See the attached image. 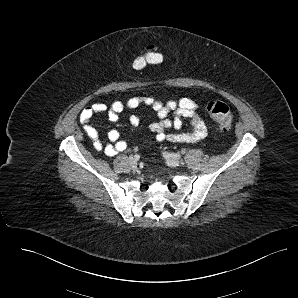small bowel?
<instances>
[{
  "label": "small bowel",
  "instance_id": "c3829d8e",
  "mask_svg": "<svg viewBox=\"0 0 298 298\" xmlns=\"http://www.w3.org/2000/svg\"><path fill=\"white\" fill-rule=\"evenodd\" d=\"M141 105L151 107L157 114L158 120L149 126V130L154 134L157 142L194 143L207 136V127L197 113L199 105L192 99L181 98L164 102L152 96L131 97L125 102L114 101L109 106L104 103H94L83 108L80 113V122L95 150L112 157L125 151L128 147L127 142L121 139L120 133L115 129L108 132L110 143H103L96 127L92 124V118L95 115L106 113L108 119L115 122L125 109H135ZM183 118H187L191 122V129L188 132L180 131ZM129 122L132 126L137 127L140 124V119L136 115H131ZM169 129L174 132H169Z\"/></svg>",
  "mask_w": 298,
  "mask_h": 298
}]
</instances>
